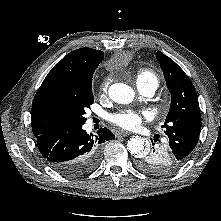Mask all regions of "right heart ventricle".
<instances>
[{
    "instance_id": "obj_1",
    "label": "right heart ventricle",
    "mask_w": 221,
    "mask_h": 221,
    "mask_svg": "<svg viewBox=\"0 0 221 221\" xmlns=\"http://www.w3.org/2000/svg\"><path fill=\"white\" fill-rule=\"evenodd\" d=\"M136 81L139 82H153L158 85V77L150 69H140L136 74Z\"/></svg>"
}]
</instances>
